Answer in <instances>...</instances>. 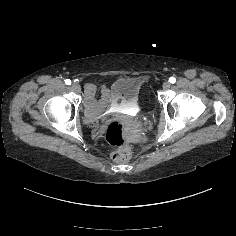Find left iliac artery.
Here are the masks:
<instances>
[{
	"instance_id": "obj_1",
	"label": "left iliac artery",
	"mask_w": 236,
	"mask_h": 236,
	"mask_svg": "<svg viewBox=\"0 0 236 236\" xmlns=\"http://www.w3.org/2000/svg\"><path fill=\"white\" fill-rule=\"evenodd\" d=\"M169 82L172 83V84L175 83L176 82V78L175 77H170Z\"/></svg>"
}]
</instances>
